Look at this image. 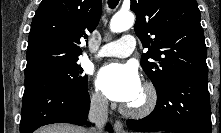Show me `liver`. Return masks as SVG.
I'll use <instances>...</instances> for the list:
<instances>
[{
    "instance_id": "liver-1",
    "label": "liver",
    "mask_w": 221,
    "mask_h": 133,
    "mask_svg": "<svg viewBox=\"0 0 221 133\" xmlns=\"http://www.w3.org/2000/svg\"><path fill=\"white\" fill-rule=\"evenodd\" d=\"M37 133H88V131L74 125L58 123L43 127Z\"/></svg>"
}]
</instances>
